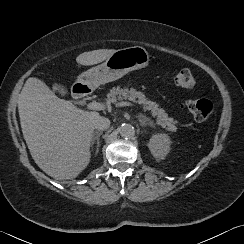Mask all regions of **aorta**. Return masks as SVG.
<instances>
[{"label":"aorta","instance_id":"aorta-1","mask_svg":"<svg viewBox=\"0 0 244 244\" xmlns=\"http://www.w3.org/2000/svg\"><path fill=\"white\" fill-rule=\"evenodd\" d=\"M119 133L124 138H130L135 134V129L131 124H123L119 127Z\"/></svg>","mask_w":244,"mask_h":244}]
</instances>
